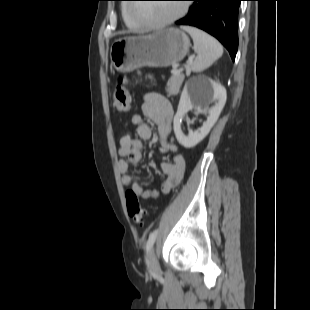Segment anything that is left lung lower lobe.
<instances>
[{"instance_id":"1","label":"left lung lower lobe","mask_w":310,"mask_h":310,"mask_svg":"<svg viewBox=\"0 0 310 310\" xmlns=\"http://www.w3.org/2000/svg\"><path fill=\"white\" fill-rule=\"evenodd\" d=\"M193 5L177 25H190L217 38L229 51L232 60L238 49L237 21L243 0H190Z\"/></svg>"}]
</instances>
